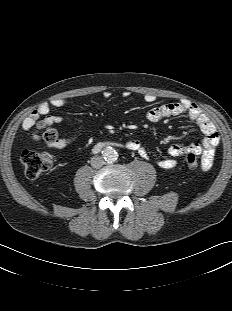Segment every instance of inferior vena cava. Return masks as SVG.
I'll use <instances>...</instances> for the list:
<instances>
[{
    "instance_id": "inferior-vena-cava-1",
    "label": "inferior vena cava",
    "mask_w": 232,
    "mask_h": 311,
    "mask_svg": "<svg viewBox=\"0 0 232 311\" xmlns=\"http://www.w3.org/2000/svg\"><path fill=\"white\" fill-rule=\"evenodd\" d=\"M104 165V160L101 156H94L91 158V166L99 169Z\"/></svg>"
}]
</instances>
